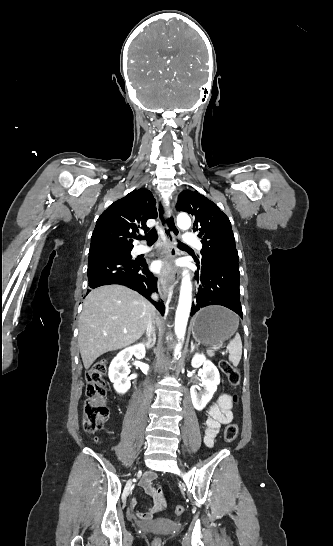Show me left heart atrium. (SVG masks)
I'll return each instance as SVG.
<instances>
[{
  "mask_svg": "<svg viewBox=\"0 0 333 546\" xmlns=\"http://www.w3.org/2000/svg\"><path fill=\"white\" fill-rule=\"evenodd\" d=\"M166 268H167V262H165V261L159 260V261L154 262V264H153V270L155 272H157V273L164 272L166 270Z\"/></svg>",
  "mask_w": 333,
  "mask_h": 546,
  "instance_id": "obj_1",
  "label": "left heart atrium"
}]
</instances>
